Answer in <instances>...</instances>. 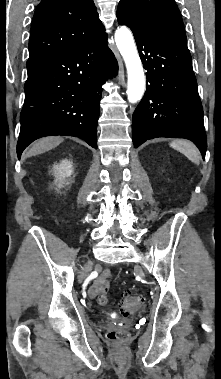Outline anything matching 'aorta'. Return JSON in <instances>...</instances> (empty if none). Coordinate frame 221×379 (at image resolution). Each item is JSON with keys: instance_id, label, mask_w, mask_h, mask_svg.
Here are the masks:
<instances>
[{"instance_id": "obj_1", "label": "aorta", "mask_w": 221, "mask_h": 379, "mask_svg": "<svg viewBox=\"0 0 221 379\" xmlns=\"http://www.w3.org/2000/svg\"><path fill=\"white\" fill-rule=\"evenodd\" d=\"M115 42L127 68L129 102L136 103L141 100L145 91V76L142 63L135 45L131 31L121 26L115 31Z\"/></svg>"}]
</instances>
